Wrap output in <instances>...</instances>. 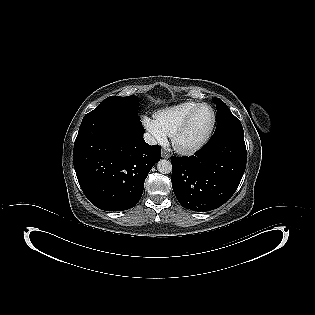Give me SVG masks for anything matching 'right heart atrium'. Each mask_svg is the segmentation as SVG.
Returning a JSON list of instances; mask_svg holds the SVG:
<instances>
[{"label": "right heart atrium", "instance_id": "right-heart-atrium-1", "mask_svg": "<svg viewBox=\"0 0 315 315\" xmlns=\"http://www.w3.org/2000/svg\"><path fill=\"white\" fill-rule=\"evenodd\" d=\"M145 129L151 134L153 139L159 144L167 142V134L162 130L155 118L143 117L142 119Z\"/></svg>", "mask_w": 315, "mask_h": 315}]
</instances>
